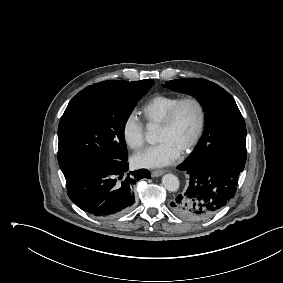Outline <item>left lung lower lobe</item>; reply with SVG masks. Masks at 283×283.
I'll list each match as a JSON object with an SVG mask.
<instances>
[{"label": "left lung lower lobe", "instance_id": "1", "mask_svg": "<svg viewBox=\"0 0 283 283\" xmlns=\"http://www.w3.org/2000/svg\"><path fill=\"white\" fill-rule=\"evenodd\" d=\"M189 177L187 190L170 203L172 211L189 221H203L215 215L234 197L244 164L226 159L207 161L195 166L177 167Z\"/></svg>", "mask_w": 283, "mask_h": 283}]
</instances>
